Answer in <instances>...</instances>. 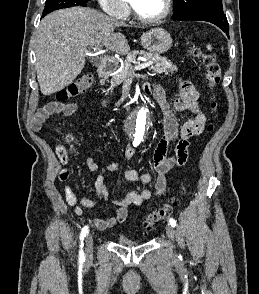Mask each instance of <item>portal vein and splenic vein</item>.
<instances>
[{
	"label": "portal vein and splenic vein",
	"instance_id": "1",
	"mask_svg": "<svg viewBox=\"0 0 259 294\" xmlns=\"http://www.w3.org/2000/svg\"><path fill=\"white\" fill-rule=\"evenodd\" d=\"M95 51H98L99 53H101V48L99 46L94 48ZM104 59L111 61V57L110 56H105ZM152 65V62H145V63H139L134 67V70H140L143 68H147L149 66Z\"/></svg>",
	"mask_w": 259,
	"mask_h": 294
}]
</instances>
